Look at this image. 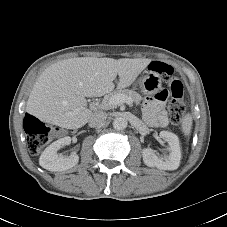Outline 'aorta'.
Segmentation results:
<instances>
[{
  "mask_svg": "<svg viewBox=\"0 0 227 227\" xmlns=\"http://www.w3.org/2000/svg\"><path fill=\"white\" fill-rule=\"evenodd\" d=\"M112 125H113V128L116 130H124L128 125V121L124 117H116L113 120Z\"/></svg>",
  "mask_w": 227,
  "mask_h": 227,
  "instance_id": "762f6f07",
  "label": "aorta"
}]
</instances>
